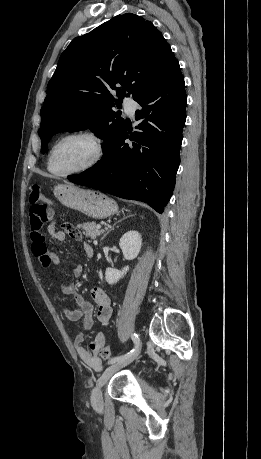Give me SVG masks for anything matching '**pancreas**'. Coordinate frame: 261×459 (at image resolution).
Masks as SVG:
<instances>
[{"label": "pancreas", "mask_w": 261, "mask_h": 459, "mask_svg": "<svg viewBox=\"0 0 261 459\" xmlns=\"http://www.w3.org/2000/svg\"><path fill=\"white\" fill-rule=\"evenodd\" d=\"M78 228H81L83 230V234L91 239H95L104 232L103 230L97 228L95 222L80 224L78 225Z\"/></svg>", "instance_id": "1"}]
</instances>
